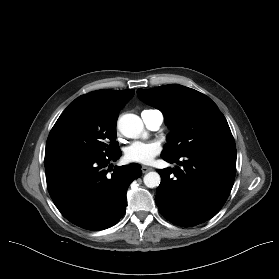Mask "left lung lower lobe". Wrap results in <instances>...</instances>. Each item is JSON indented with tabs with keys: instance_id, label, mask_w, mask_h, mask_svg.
<instances>
[{
	"instance_id": "0a47b994",
	"label": "left lung lower lobe",
	"mask_w": 279,
	"mask_h": 279,
	"mask_svg": "<svg viewBox=\"0 0 279 279\" xmlns=\"http://www.w3.org/2000/svg\"><path fill=\"white\" fill-rule=\"evenodd\" d=\"M161 157L181 166L158 171L161 183L157 188L156 203L166 219L179 226L191 227L219 212L234 183L236 149L208 148L178 158Z\"/></svg>"
}]
</instances>
